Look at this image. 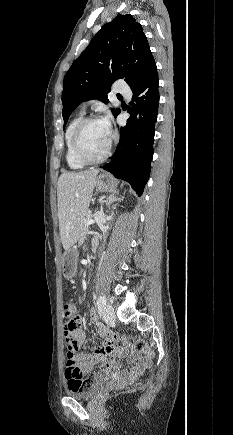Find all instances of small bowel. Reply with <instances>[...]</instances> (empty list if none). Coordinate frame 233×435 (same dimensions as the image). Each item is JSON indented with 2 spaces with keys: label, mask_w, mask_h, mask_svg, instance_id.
Segmentation results:
<instances>
[{
  "label": "small bowel",
  "mask_w": 233,
  "mask_h": 435,
  "mask_svg": "<svg viewBox=\"0 0 233 435\" xmlns=\"http://www.w3.org/2000/svg\"><path fill=\"white\" fill-rule=\"evenodd\" d=\"M74 311L77 308L74 304L70 303ZM89 317L93 321L98 335L102 338L103 347L95 349L93 355L87 353H80L77 355V359L80 363L83 371L90 372L96 364L103 363V367L100 371L93 374L94 379H100L103 376L115 373L121 370V365L117 361V358L127 357L129 368L126 370L129 374L134 375L143 368L147 367L149 362L137 353L123 346H116L111 352L105 351L104 345L108 338V332L105 326L98 321L97 314L94 310L89 311ZM86 341V333L83 329L78 331V344L82 345ZM109 355V358H107ZM65 378L68 385H74L78 381L79 372L72 366H67L65 369Z\"/></svg>",
  "instance_id": "1"
}]
</instances>
